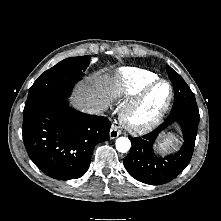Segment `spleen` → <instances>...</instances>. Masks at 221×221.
Instances as JSON below:
<instances>
[{
    "label": "spleen",
    "instance_id": "3e777b00",
    "mask_svg": "<svg viewBox=\"0 0 221 221\" xmlns=\"http://www.w3.org/2000/svg\"><path fill=\"white\" fill-rule=\"evenodd\" d=\"M174 143V137L169 134L166 138H163L162 142L159 144L160 148L162 149H168L170 147H173Z\"/></svg>",
    "mask_w": 221,
    "mask_h": 221
}]
</instances>
